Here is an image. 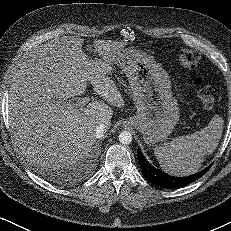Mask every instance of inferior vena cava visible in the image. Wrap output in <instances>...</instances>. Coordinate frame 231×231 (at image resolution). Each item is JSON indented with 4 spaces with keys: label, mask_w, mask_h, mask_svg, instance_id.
Returning <instances> with one entry per match:
<instances>
[{
    "label": "inferior vena cava",
    "mask_w": 231,
    "mask_h": 231,
    "mask_svg": "<svg viewBox=\"0 0 231 231\" xmlns=\"http://www.w3.org/2000/svg\"><path fill=\"white\" fill-rule=\"evenodd\" d=\"M111 123H101L96 127L95 130V137L96 138H101L105 135V133L108 131V129L110 128Z\"/></svg>",
    "instance_id": "obj_1"
}]
</instances>
